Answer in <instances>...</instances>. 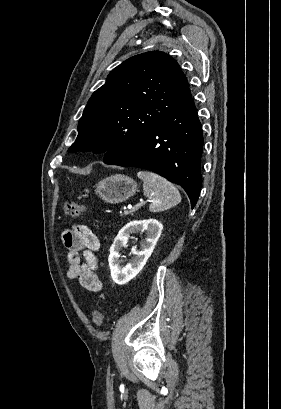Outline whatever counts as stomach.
Wrapping results in <instances>:
<instances>
[{"label": "stomach", "instance_id": "1", "mask_svg": "<svg viewBox=\"0 0 281 409\" xmlns=\"http://www.w3.org/2000/svg\"><path fill=\"white\" fill-rule=\"evenodd\" d=\"M138 184L136 180L126 176V174H112L107 178H102L98 184H96V194L101 196L105 202H112V205H116V202H123L127 200L129 196H133L137 192Z\"/></svg>", "mask_w": 281, "mask_h": 409}]
</instances>
